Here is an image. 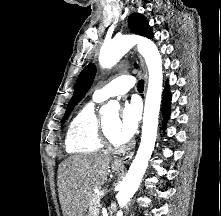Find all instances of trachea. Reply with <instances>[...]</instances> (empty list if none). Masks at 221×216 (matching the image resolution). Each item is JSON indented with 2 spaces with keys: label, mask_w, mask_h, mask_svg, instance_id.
Segmentation results:
<instances>
[{
  "label": "trachea",
  "mask_w": 221,
  "mask_h": 216,
  "mask_svg": "<svg viewBox=\"0 0 221 216\" xmlns=\"http://www.w3.org/2000/svg\"><path fill=\"white\" fill-rule=\"evenodd\" d=\"M144 89V81L143 80H140L137 84V90L138 91H143Z\"/></svg>",
  "instance_id": "trachea-1"
}]
</instances>
